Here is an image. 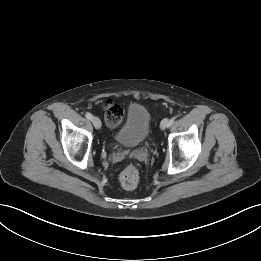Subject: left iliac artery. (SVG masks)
Returning a JSON list of instances; mask_svg holds the SVG:
<instances>
[{
    "mask_svg": "<svg viewBox=\"0 0 261 261\" xmlns=\"http://www.w3.org/2000/svg\"><path fill=\"white\" fill-rule=\"evenodd\" d=\"M174 121H175V117H173V118H171L170 120H169V127L174 123Z\"/></svg>",
    "mask_w": 261,
    "mask_h": 261,
    "instance_id": "44dca946",
    "label": "left iliac artery"
}]
</instances>
